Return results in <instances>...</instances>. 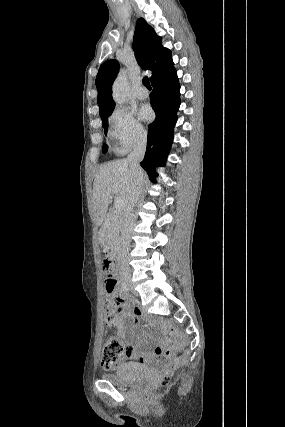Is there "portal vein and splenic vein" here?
<instances>
[{"label":"portal vein and splenic vein","mask_w":285,"mask_h":427,"mask_svg":"<svg viewBox=\"0 0 285 427\" xmlns=\"http://www.w3.org/2000/svg\"><path fill=\"white\" fill-rule=\"evenodd\" d=\"M113 189H114V190H116V186H114V187H113ZM114 205H115V209H116V211H120V210L123 208V206H124V201H123V199H122V198H120V197H117V198L115 199Z\"/></svg>","instance_id":"obj_1"}]
</instances>
